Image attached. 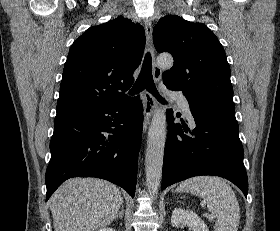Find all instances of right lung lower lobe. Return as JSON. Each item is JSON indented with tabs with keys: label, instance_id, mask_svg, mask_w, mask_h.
Returning <instances> with one entry per match:
<instances>
[{
	"label": "right lung lower lobe",
	"instance_id": "right-lung-lower-lobe-1",
	"mask_svg": "<svg viewBox=\"0 0 280 231\" xmlns=\"http://www.w3.org/2000/svg\"><path fill=\"white\" fill-rule=\"evenodd\" d=\"M142 125L139 98L55 120L46 201L72 177L102 178L134 196Z\"/></svg>",
	"mask_w": 280,
	"mask_h": 231
}]
</instances>
